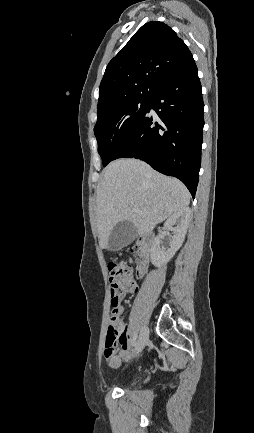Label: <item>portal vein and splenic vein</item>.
<instances>
[{
    "label": "portal vein and splenic vein",
    "instance_id": "portal-vein-and-splenic-vein-1",
    "mask_svg": "<svg viewBox=\"0 0 254 433\" xmlns=\"http://www.w3.org/2000/svg\"><path fill=\"white\" fill-rule=\"evenodd\" d=\"M134 212H136V213H141L140 209H138V208H135V209H134Z\"/></svg>",
    "mask_w": 254,
    "mask_h": 433
}]
</instances>
